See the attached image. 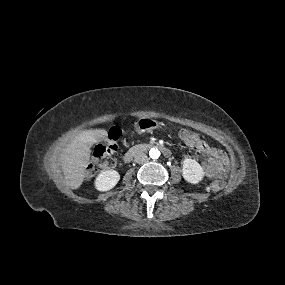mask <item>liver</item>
Returning a JSON list of instances; mask_svg holds the SVG:
<instances>
[{
  "label": "liver",
  "instance_id": "obj_1",
  "mask_svg": "<svg viewBox=\"0 0 285 285\" xmlns=\"http://www.w3.org/2000/svg\"><path fill=\"white\" fill-rule=\"evenodd\" d=\"M106 136V130H86L79 133L67 146L63 155L62 171L71 189L79 188L84 180L90 159V145L100 142Z\"/></svg>",
  "mask_w": 285,
  "mask_h": 285
}]
</instances>
